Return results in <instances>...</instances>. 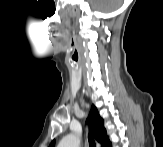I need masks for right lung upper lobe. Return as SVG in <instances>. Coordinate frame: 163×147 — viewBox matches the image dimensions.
<instances>
[{
    "label": "right lung upper lobe",
    "mask_w": 163,
    "mask_h": 147,
    "mask_svg": "<svg viewBox=\"0 0 163 147\" xmlns=\"http://www.w3.org/2000/svg\"><path fill=\"white\" fill-rule=\"evenodd\" d=\"M87 122L91 125V129L93 132V136L97 142H99L102 147H105L110 142L108 140L106 129L104 127V121L100 117L96 107L92 105L89 117ZM55 140H53L50 144V147H54Z\"/></svg>",
    "instance_id": "cb5924a9"
}]
</instances>
